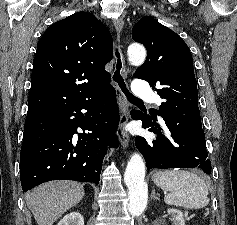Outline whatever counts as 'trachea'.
<instances>
[{
	"label": "trachea",
	"mask_w": 237,
	"mask_h": 225,
	"mask_svg": "<svg viewBox=\"0 0 237 225\" xmlns=\"http://www.w3.org/2000/svg\"><path fill=\"white\" fill-rule=\"evenodd\" d=\"M115 55L117 57V64H116V71L113 75V80L118 83L119 87L121 88L122 92L125 94V96L127 97L128 100L142 103V101L140 99L133 96L129 92V90L126 88L124 80L120 74V70L122 68V63H121L120 54H119L118 50H116Z\"/></svg>",
	"instance_id": "1"
}]
</instances>
